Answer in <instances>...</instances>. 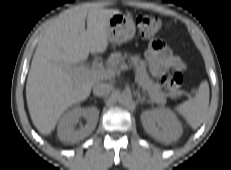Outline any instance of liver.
Instances as JSON below:
<instances>
[{
    "label": "liver",
    "instance_id": "obj_1",
    "mask_svg": "<svg viewBox=\"0 0 231 170\" xmlns=\"http://www.w3.org/2000/svg\"><path fill=\"white\" fill-rule=\"evenodd\" d=\"M119 10L76 6L46 29L33 56L26 83V100L34 126L49 135L73 104L86 100L98 78L70 71L89 54L108 47L109 19ZM87 18V29L85 21Z\"/></svg>",
    "mask_w": 231,
    "mask_h": 170
}]
</instances>
